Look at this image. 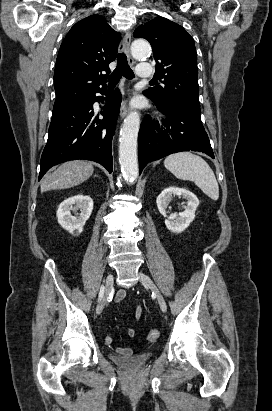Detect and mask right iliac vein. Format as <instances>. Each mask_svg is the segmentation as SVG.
<instances>
[{
	"instance_id": "63e3f726",
	"label": "right iliac vein",
	"mask_w": 272,
	"mask_h": 411,
	"mask_svg": "<svg viewBox=\"0 0 272 411\" xmlns=\"http://www.w3.org/2000/svg\"><path fill=\"white\" fill-rule=\"evenodd\" d=\"M112 285H113V275L108 274L106 279H105V295L102 297V299L100 300V302L98 303L97 308H96V313L98 315L101 314V312L103 311L105 301H106V297L109 294V292L112 288Z\"/></svg>"
}]
</instances>
